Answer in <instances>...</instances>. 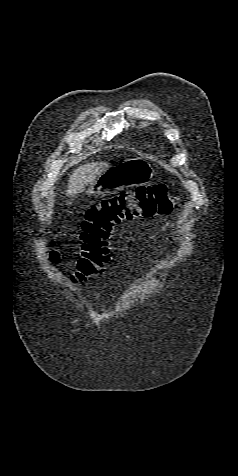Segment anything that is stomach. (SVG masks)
<instances>
[{
  "instance_id": "obj_1",
  "label": "stomach",
  "mask_w": 238,
  "mask_h": 476,
  "mask_svg": "<svg viewBox=\"0 0 238 476\" xmlns=\"http://www.w3.org/2000/svg\"><path fill=\"white\" fill-rule=\"evenodd\" d=\"M125 162L103 172L93 183L98 189L119 188L125 190L127 183H145L149 179V164H129Z\"/></svg>"
}]
</instances>
